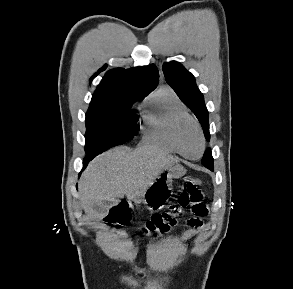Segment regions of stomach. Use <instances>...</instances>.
Wrapping results in <instances>:
<instances>
[{
    "instance_id": "1",
    "label": "stomach",
    "mask_w": 293,
    "mask_h": 289,
    "mask_svg": "<svg viewBox=\"0 0 293 289\" xmlns=\"http://www.w3.org/2000/svg\"><path fill=\"white\" fill-rule=\"evenodd\" d=\"M185 173L186 170L179 164L166 166L135 203L142 202L151 211L161 210L172 194L173 179L181 178Z\"/></svg>"
}]
</instances>
